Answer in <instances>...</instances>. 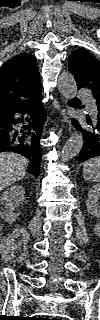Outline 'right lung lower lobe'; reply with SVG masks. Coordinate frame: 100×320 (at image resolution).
Segmentation results:
<instances>
[{"instance_id": "right-lung-lower-lobe-1", "label": "right lung lower lobe", "mask_w": 100, "mask_h": 320, "mask_svg": "<svg viewBox=\"0 0 100 320\" xmlns=\"http://www.w3.org/2000/svg\"><path fill=\"white\" fill-rule=\"evenodd\" d=\"M41 92L0 114V152L11 151L25 156L32 164L29 171L38 176L42 149L40 139L45 123Z\"/></svg>"}]
</instances>
